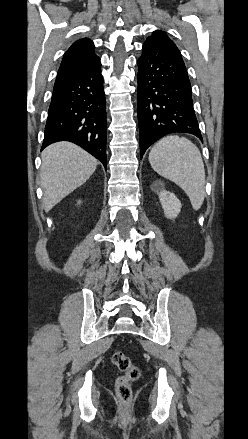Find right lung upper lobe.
Listing matches in <instances>:
<instances>
[{
  "mask_svg": "<svg viewBox=\"0 0 248 439\" xmlns=\"http://www.w3.org/2000/svg\"><path fill=\"white\" fill-rule=\"evenodd\" d=\"M94 44L88 38L77 40L66 51L56 77V83L76 76L99 63Z\"/></svg>",
  "mask_w": 248,
  "mask_h": 439,
  "instance_id": "cb5924a9",
  "label": "right lung upper lobe"
}]
</instances>
